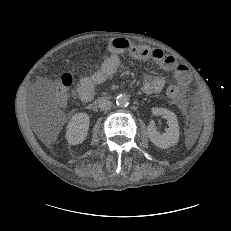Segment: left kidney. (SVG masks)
I'll return each mask as SVG.
<instances>
[{
	"label": "left kidney",
	"instance_id": "left-kidney-1",
	"mask_svg": "<svg viewBox=\"0 0 231 231\" xmlns=\"http://www.w3.org/2000/svg\"><path fill=\"white\" fill-rule=\"evenodd\" d=\"M154 115H162L168 123L169 128L164 133H159L154 121L148 125V137L150 141L159 148H168L177 144L179 140V124L176 115L165 108H153Z\"/></svg>",
	"mask_w": 231,
	"mask_h": 231
}]
</instances>
